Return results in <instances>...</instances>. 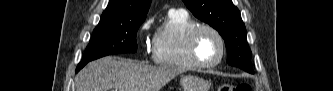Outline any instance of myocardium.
<instances>
[{"label":"myocardium","mask_w":333,"mask_h":91,"mask_svg":"<svg viewBox=\"0 0 333 91\" xmlns=\"http://www.w3.org/2000/svg\"><path fill=\"white\" fill-rule=\"evenodd\" d=\"M205 30L213 33L217 37V39L220 43L219 57L217 58V60H215L214 62H211V63H205V62L201 61L197 55V48H196L197 38H198L199 34ZM187 47H188V53H189V56H190L192 62L198 68H203V69H211V68L218 66L223 61L225 54H226V43H225V39H224L223 35L214 26L208 25V24H198L193 29L190 30V32L187 35Z\"/></svg>","instance_id":"myocardium-1"}]
</instances>
